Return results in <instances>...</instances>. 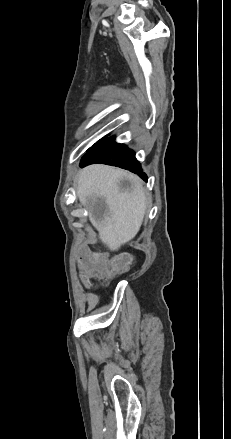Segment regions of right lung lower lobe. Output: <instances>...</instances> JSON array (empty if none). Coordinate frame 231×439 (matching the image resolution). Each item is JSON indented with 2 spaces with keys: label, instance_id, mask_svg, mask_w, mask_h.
<instances>
[{
  "label": "right lung lower lobe",
  "instance_id": "1",
  "mask_svg": "<svg viewBox=\"0 0 231 439\" xmlns=\"http://www.w3.org/2000/svg\"><path fill=\"white\" fill-rule=\"evenodd\" d=\"M93 163H103L124 168L138 174L147 181V176L142 172L141 165L135 158V152L124 144L115 142V138H108L89 150L82 158L80 166L85 167Z\"/></svg>",
  "mask_w": 231,
  "mask_h": 439
}]
</instances>
